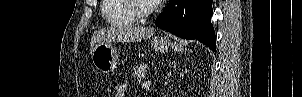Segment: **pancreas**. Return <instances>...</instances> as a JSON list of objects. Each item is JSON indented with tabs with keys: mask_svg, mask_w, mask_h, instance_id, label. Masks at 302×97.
Returning <instances> with one entry per match:
<instances>
[{
	"mask_svg": "<svg viewBox=\"0 0 302 97\" xmlns=\"http://www.w3.org/2000/svg\"><path fill=\"white\" fill-rule=\"evenodd\" d=\"M146 71H147V66L146 65H139L136 66L133 69V78L137 79L139 82H141L143 79L146 77Z\"/></svg>",
	"mask_w": 302,
	"mask_h": 97,
	"instance_id": "pancreas-1",
	"label": "pancreas"
}]
</instances>
